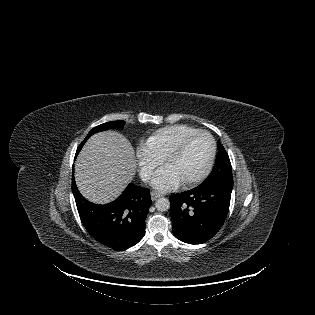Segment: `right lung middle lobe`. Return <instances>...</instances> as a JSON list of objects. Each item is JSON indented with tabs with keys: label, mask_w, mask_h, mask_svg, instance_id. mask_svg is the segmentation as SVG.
Returning a JSON list of instances; mask_svg holds the SVG:
<instances>
[{
	"label": "right lung middle lobe",
	"mask_w": 315,
	"mask_h": 315,
	"mask_svg": "<svg viewBox=\"0 0 315 315\" xmlns=\"http://www.w3.org/2000/svg\"><path fill=\"white\" fill-rule=\"evenodd\" d=\"M125 122L124 121H110L104 124H101L99 126L94 127L87 135V137L84 139V141L82 142V144L80 145V147L78 148V151H80L81 147L83 146V144L85 143V141L94 133L100 132V131H104L107 129H111V128H122L124 126Z\"/></svg>",
	"instance_id": "dd1d6c3e"
}]
</instances>
